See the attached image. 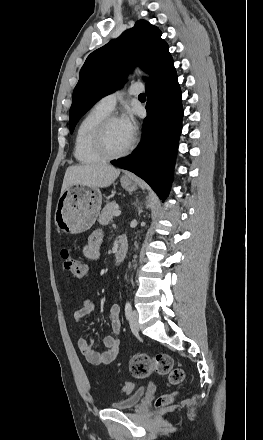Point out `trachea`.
Listing matches in <instances>:
<instances>
[{"label": "trachea", "mask_w": 263, "mask_h": 440, "mask_svg": "<svg viewBox=\"0 0 263 440\" xmlns=\"http://www.w3.org/2000/svg\"><path fill=\"white\" fill-rule=\"evenodd\" d=\"M138 97H146L145 93H141Z\"/></svg>", "instance_id": "3493384b"}]
</instances>
